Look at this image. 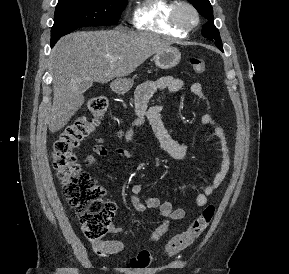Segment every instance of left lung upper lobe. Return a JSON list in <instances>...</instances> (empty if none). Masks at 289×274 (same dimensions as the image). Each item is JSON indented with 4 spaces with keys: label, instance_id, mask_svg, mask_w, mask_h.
<instances>
[{
    "label": "left lung upper lobe",
    "instance_id": "1",
    "mask_svg": "<svg viewBox=\"0 0 289 274\" xmlns=\"http://www.w3.org/2000/svg\"><path fill=\"white\" fill-rule=\"evenodd\" d=\"M204 16L208 22L203 26L202 35L210 40H214L216 46L223 50L222 41L218 29L213 25V9L209 0H188Z\"/></svg>",
    "mask_w": 289,
    "mask_h": 274
}]
</instances>
